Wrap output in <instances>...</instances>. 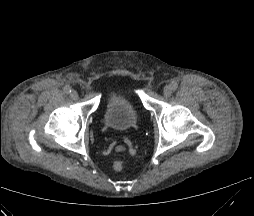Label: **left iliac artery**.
I'll use <instances>...</instances> for the list:
<instances>
[{
  "label": "left iliac artery",
  "mask_w": 254,
  "mask_h": 216,
  "mask_svg": "<svg viewBox=\"0 0 254 216\" xmlns=\"http://www.w3.org/2000/svg\"><path fill=\"white\" fill-rule=\"evenodd\" d=\"M170 88H171L172 91L177 90V88H178L177 82H172V83L170 84Z\"/></svg>",
  "instance_id": "left-iliac-artery-1"
}]
</instances>
